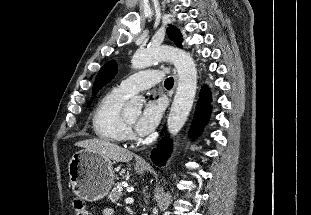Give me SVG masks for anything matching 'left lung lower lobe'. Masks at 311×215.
<instances>
[{
  "label": "left lung lower lobe",
  "instance_id": "0a47b994",
  "mask_svg": "<svg viewBox=\"0 0 311 215\" xmlns=\"http://www.w3.org/2000/svg\"><path fill=\"white\" fill-rule=\"evenodd\" d=\"M211 96L208 90H202L197 104L196 122L192 128V133L197 134L209 116ZM172 141L165 138L160 146L152 151L151 158L156 165H163L171 152Z\"/></svg>",
  "mask_w": 311,
  "mask_h": 215
}]
</instances>
